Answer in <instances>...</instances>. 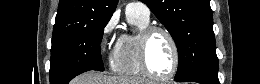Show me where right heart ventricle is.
I'll list each match as a JSON object with an SVG mask.
<instances>
[{"label": "right heart ventricle", "instance_id": "obj_1", "mask_svg": "<svg viewBox=\"0 0 260 84\" xmlns=\"http://www.w3.org/2000/svg\"><path fill=\"white\" fill-rule=\"evenodd\" d=\"M127 18L129 23L140 31L149 25V20H144L136 14H127ZM138 41L139 34H122L119 37L111 63L115 73L130 77L144 74L139 62Z\"/></svg>", "mask_w": 260, "mask_h": 84}]
</instances>
